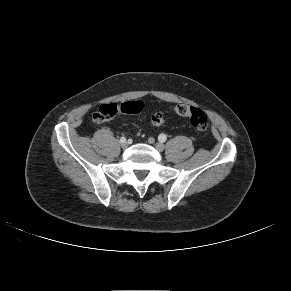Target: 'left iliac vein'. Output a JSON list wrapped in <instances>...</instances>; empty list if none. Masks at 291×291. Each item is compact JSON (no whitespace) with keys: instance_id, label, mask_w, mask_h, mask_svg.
Wrapping results in <instances>:
<instances>
[{"instance_id":"4c4485c4","label":"left iliac vein","mask_w":291,"mask_h":291,"mask_svg":"<svg viewBox=\"0 0 291 291\" xmlns=\"http://www.w3.org/2000/svg\"><path fill=\"white\" fill-rule=\"evenodd\" d=\"M155 147L159 152H162L164 150V144H162L160 142L156 143Z\"/></svg>"}]
</instances>
